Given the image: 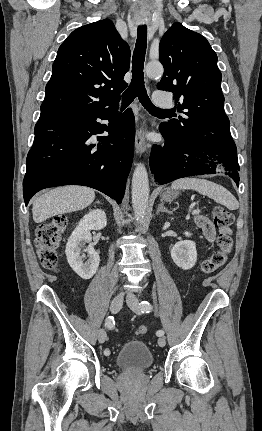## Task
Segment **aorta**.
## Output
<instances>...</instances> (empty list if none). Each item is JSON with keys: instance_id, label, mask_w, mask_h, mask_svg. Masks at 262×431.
<instances>
[{"instance_id": "1", "label": "aorta", "mask_w": 262, "mask_h": 431, "mask_svg": "<svg viewBox=\"0 0 262 431\" xmlns=\"http://www.w3.org/2000/svg\"><path fill=\"white\" fill-rule=\"evenodd\" d=\"M145 72L149 77H159L164 69L159 62H150L145 67ZM149 197V180L146 167L138 163L132 177V207L135 217L139 221L145 218Z\"/></svg>"}]
</instances>
